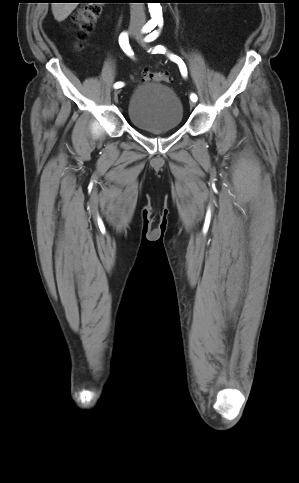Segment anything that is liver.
<instances>
[{
    "label": "liver",
    "instance_id": "6515ba94",
    "mask_svg": "<svg viewBox=\"0 0 299 483\" xmlns=\"http://www.w3.org/2000/svg\"><path fill=\"white\" fill-rule=\"evenodd\" d=\"M78 3H52V13L58 21H64L76 8Z\"/></svg>",
    "mask_w": 299,
    "mask_h": 483
}]
</instances>
